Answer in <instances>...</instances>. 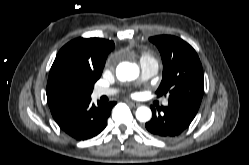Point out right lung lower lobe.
<instances>
[{
	"mask_svg": "<svg viewBox=\"0 0 249 165\" xmlns=\"http://www.w3.org/2000/svg\"><path fill=\"white\" fill-rule=\"evenodd\" d=\"M116 102L91 103V97L64 102L50 108L60 128L76 140L98 135L107 124V118Z\"/></svg>",
	"mask_w": 249,
	"mask_h": 165,
	"instance_id": "1",
	"label": "right lung lower lobe"
}]
</instances>
